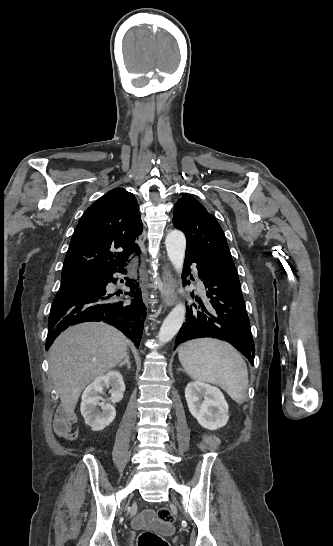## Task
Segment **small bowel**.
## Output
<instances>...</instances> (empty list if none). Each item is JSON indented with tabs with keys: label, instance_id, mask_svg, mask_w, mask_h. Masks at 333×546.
I'll return each mask as SVG.
<instances>
[{
	"label": "small bowel",
	"instance_id": "small-bowel-1",
	"mask_svg": "<svg viewBox=\"0 0 333 546\" xmlns=\"http://www.w3.org/2000/svg\"><path fill=\"white\" fill-rule=\"evenodd\" d=\"M71 417H63L55 420L54 430L55 432L68 440H75L78 437V430L70 429ZM154 515L150 510L144 511L138 517L135 518L133 524L135 527H140L142 525H151L154 523Z\"/></svg>",
	"mask_w": 333,
	"mask_h": 546
}]
</instances>
